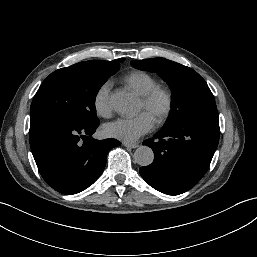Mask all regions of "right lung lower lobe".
Returning <instances> with one entry per match:
<instances>
[{
  "instance_id": "1",
  "label": "right lung lower lobe",
  "mask_w": 257,
  "mask_h": 257,
  "mask_svg": "<svg viewBox=\"0 0 257 257\" xmlns=\"http://www.w3.org/2000/svg\"><path fill=\"white\" fill-rule=\"evenodd\" d=\"M99 121L86 125L68 124L49 117L30 121V147L46 183L63 194L79 193L103 172L107 154L120 142L92 138Z\"/></svg>"
}]
</instances>
